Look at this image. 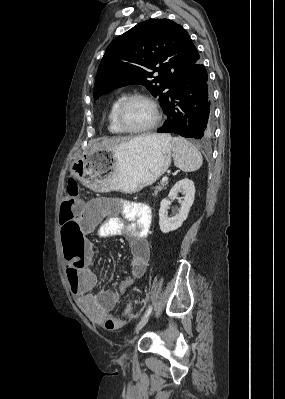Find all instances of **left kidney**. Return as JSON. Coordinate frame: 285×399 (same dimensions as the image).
<instances>
[{"label":"left kidney","mask_w":285,"mask_h":399,"mask_svg":"<svg viewBox=\"0 0 285 399\" xmlns=\"http://www.w3.org/2000/svg\"><path fill=\"white\" fill-rule=\"evenodd\" d=\"M178 193H182L183 199H179L180 211L174 217L169 218L167 209L171 202L165 198L160 203L159 209V226L163 233H169L177 230L187 219L191 206L195 197L194 182L190 179H182L178 181L170 190L168 197H175Z\"/></svg>","instance_id":"1"}]
</instances>
